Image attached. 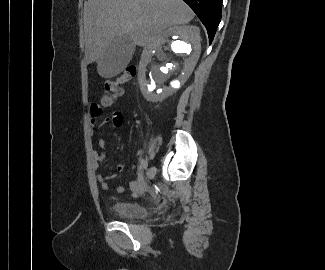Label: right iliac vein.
<instances>
[{
    "label": "right iliac vein",
    "mask_w": 325,
    "mask_h": 270,
    "mask_svg": "<svg viewBox=\"0 0 325 270\" xmlns=\"http://www.w3.org/2000/svg\"><path fill=\"white\" fill-rule=\"evenodd\" d=\"M156 173V168L155 167H151L148 172H147V179H152L155 176Z\"/></svg>",
    "instance_id": "right-iliac-vein-1"
}]
</instances>
